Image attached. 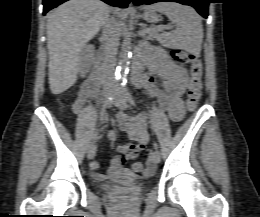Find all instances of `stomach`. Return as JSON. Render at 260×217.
<instances>
[{
  "label": "stomach",
  "instance_id": "0dacf381",
  "mask_svg": "<svg viewBox=\"0 0 260 217\" xmlns=\"http://www.w3.org/2000/svg\"><path fill=\"white\" fill-rule=\"evenodd\" d=\"M143 18L150 23H156L159 21V15H157L156 11L152 8L145 10Z\"/></svg>",
  "mask_w": 260,
  "mask_h": 217
}]
</instances>
